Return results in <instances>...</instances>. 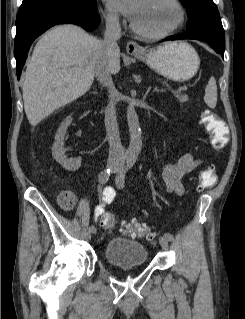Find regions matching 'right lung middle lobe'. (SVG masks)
<instances>
[{
	"instance_id": "1",
	"label": "right lung middle lobe",
	"mask_w": 245,
	"mask_h": 319,
	"mask_svg": "<svg viewBox=\"0 0 245 319\" xmlns=\"http://www.w3.org/2000/svg\"><path fill=\"white\" fill-rule=\"evenodd\" d=\"M93 0H23L20 10L40 7L49 4L63 3L75 6H88Z\"/></svg>"
}]
</instances>
